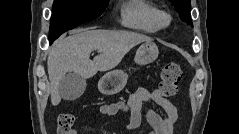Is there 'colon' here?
Returning a JSON list of instances; mask_svg holds the SVG:
<instances>
[{
	"label": "colon",
	"mask_w": 239,
	"mask_h": 134,
	"mask_svg": "<svg viewBox=\"0 0 239 134\" xmlns=\"http://www.w3.org/2000/svg\"><path fill=\"white\" fill-rule=\"evenodd\" d=\"M182 78V69L178 63H167L160 75V92L164 97L173 96L178 89ZM74 115L68 112L62 113L57 121V134H71L74 123Z\"/></svg>",
	"instance_id": "obj_1"
}]
</instances>
